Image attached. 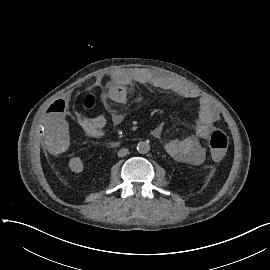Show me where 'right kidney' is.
Returning a JSON list of instances; mask_svg holds the SVG:
<instances>
[{
    "label": "right kidney",
    "instance_id": "1",
    "mask_svg": "<svg viewBox=\"0 0 270 270\" xmlns=\"http://www.w3.org/2000/svg\"><path fill=\"white\" fill-rule=\"evenodd\" d=\"M69 167L73 172L76 173L83 171V163L79 157H74L70 159Z\"/></svg>",
    "mask_w": 270,
    "mask_h": 270
}]
</instances>
